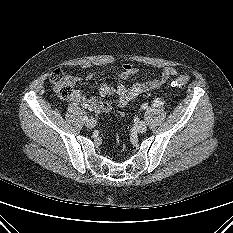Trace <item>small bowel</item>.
<instances>
[{"label": "small bowel", "mask_w": 233, "mask_h": 233, "mask_svg": "<svg viewBox=\"0 0 233 233\" xmlns=\"http://www.w3.org/2000/svg\"><path fill=\"white\" fill-rule=\"evenodd\" d=\"M137 72V69L131 63H125L122 65V71L120 73L121 81H126L129 77L134 75ZM177 75V69L175 67H165L161 70V72L155 78L142 82L135 83L132 87L127 88L122 82L117 83L116 85H112L108 82L103 83L100 86L99 93L101 97L106 98L111 95L117 96V101L115 106L118 108H122L130 103L132 100L137 98L139 95L151 91L158 90L164 83L171 77ZM95 77V72H89L86 75L87 80H91ZM75 102L81 104L88 110H91L96 113H105L109 112L114 108V105L111 103L101 100L99 98L91 97L86 98L83 97L80 91H77V96L74 98Z\"/></svg>", "instance_id": "1"}]
</instances>
